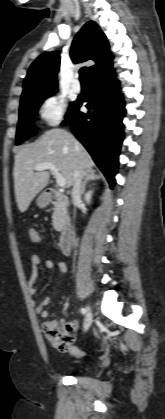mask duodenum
<instances>
[{"label": "duodenum", "mask_w": 165, "mask_h": 419, "mask_svg": "<svg viewBox=\"0 0 165 419\" xmlns=\"http://www.w3.org/2000/svg\"><path fill=\"white\" fill-rule=\"evenodd\" d=\"M44 199L48 205L58 206L61 214L63 215L60 229L59 248L62 254H67L72 241L73 229L69 218L65 217V214L67 213L71 203L64 194L54 189H48L44 193Z\"/></svg>", "instance_id": "1"}]
</instances>
